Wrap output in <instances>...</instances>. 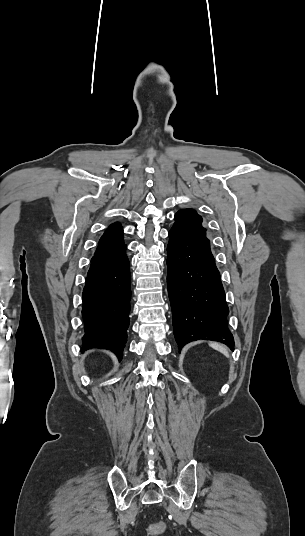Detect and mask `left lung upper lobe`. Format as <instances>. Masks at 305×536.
<instances>
[{
  "instance_id": "obj_1",
  "label": "left lung upper lobe",
  "mask_w": 305,
  "mask_h": 536,
  "mask_svg": "<svg viewBox=\"0 0 305 536\" xmlns=\"http://www.w3.org/2000/svg\"><path fill=\"white\" fill-rule=\"evenodd\" d=\"M172 229L178 230L188 236L209 241L206 229L202 227V217L193 209H181L175 214V223Z\"/></svg>"
}]
</instances>
